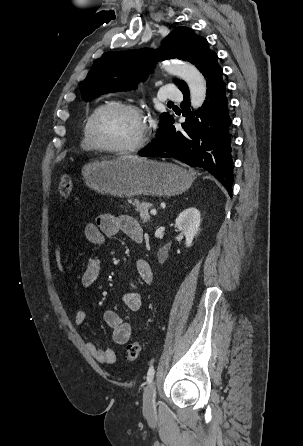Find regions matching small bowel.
<instances>
[{
  "mask_svg": "<svg viewBox=\"0 0 303 446\" xmlns=\"http://www.w3.org/2000/svg\"><path fill=\"white\" fill-rule=\"evenodd\" d=\"M123 234L134 242L140 243L143 240V230L140 224L131 216H116L112 214H102L98 216L95 223H89L85 226L84 235L88 244L92 246H101L106 238H112ZM63 246L58 244L55 250V262L57 268L64 272L65 268L62 262ZM136 274L141 283L147 285L153 280V273L149 263L144 259L136 262ZM100 276V262L95 256H91L83 271L81 282L86 288L95 285ZM123 303L131 312H137L142 307V298L138 291L129 290L123 295ZM86 315L84 311L75 309L74 322L76 325H82ZM103 320L112 331V339L118 344H125L131 337L132 327L127 321H124L114 310H107L103 314ZM86 348L89 353L100 363L114 364L117 361V354L113 348H99L96 344L88 340Z\"/></svg>",
  "mask_w": 303,
  "mask_h": 446,
  "instance_id": "1",
  "label": "small bowel"
}]
</instances>
